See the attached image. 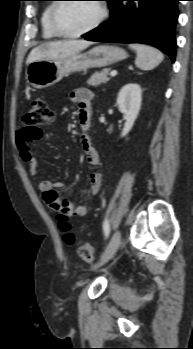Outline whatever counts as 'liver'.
<instances>
[{
  "label": "liver",
  "mask_w": 193,
  "mask_h": 349,
  "mask_svg": "<svg viewBox=\"0 0 193 349\" xmlns=\"http://www.w3.org/2000/svg\"><path fill=\"white\" fill-rule=\"evenodd\" d=\"M93 44L86 40H63L43 43L30 52L27 58V65L38 60L63 59L80 53Z\"/></svg>",
  "instance_id": "liver-1"
}]
</instances>
